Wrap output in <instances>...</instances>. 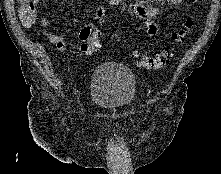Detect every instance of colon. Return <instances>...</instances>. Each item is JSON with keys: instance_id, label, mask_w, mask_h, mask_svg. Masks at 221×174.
Segmentation results:
<instances>
[{"instance_id": "5ec220e1", "label": "colon", "mask_w": 221, "mask_h": 174, "mask_svg": "<svg viewBox=\"0 0 221 174\" xmlns=\"http://www.w3.org/2000/svg\"><path fill=\"white\" fill-rule=\"evenodd\" d=\"M40 0H17L20 9L19 17L21 23L25 27L32 26L37 19V6ZM196 2V0H192ZM192 20L188 19L184 23L183 28L179 29L176 33L173 34L174 44H179L184 40L187 30L191 27ZM80 39L82 45L80 51L83 54L91 55L97 51L100 47L101 33L97 29H83L80 32ZM174 54V49L169 48L165 49L162 52L155 53L153 55L141 53L139 51H134L133 55L138 58V64L146 69L156 70L160 69L166 65V63L172 58Z\"/></svg>"}]
</instances>
